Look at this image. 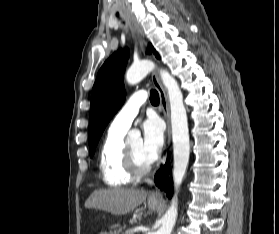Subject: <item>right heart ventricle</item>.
<instances>
[{"mask_svg":"<svg viewBox=\"0 0 279 234\" xmlns=\"http://www.w3.org/2000/svg\"><path fill=\"white\" fill-rule=\"evenodd\" d=\"M125 132L109 130L99 151V168L103 181L111 187L129 184L132 177L125 168L124 137Z\"/></svg>","mask_w":279,"mask_h":234,"instance_id":"1","label":"right heart ventricle"}]
</instances>
